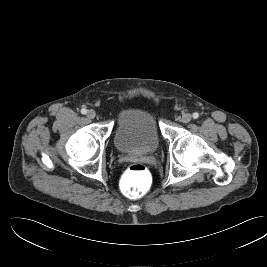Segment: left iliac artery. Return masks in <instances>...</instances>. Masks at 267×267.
Listing matches in <instances>:
<instances>
[{
    "instance_id": "obj_1",
    "label": "left iliac artery",
    "mask_w": 267,
    "mask_h": 267,
    "mask_svg": "<svg viewBox=\"0 0 267 267\" xmlns=\"http://www.w3.org/2000/svg\"><path fill=\"white\" fill-rule=\"evenodd\" d=\"M199 117V114L197 112L193 113V118L197 119Z\"/></svg>"
}]
</instances>
